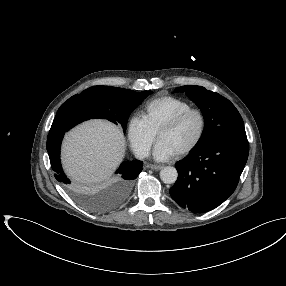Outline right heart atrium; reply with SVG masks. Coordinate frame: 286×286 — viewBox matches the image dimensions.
Here are the masks:
<instances>
[{
  "label": "right heart atrium",
  "instance_id": "d8ad5b80",
  "mask_svg": "<svg viewBox=\"0 0 286 286\" xmlns=\"http://www.w3.org/2000/svg\"><path fill=\"white\" fill-rule=\"evenodd\" d=\"M127 137L129 143L140 158L149 155L155 141L156 133L149 127L145 119L140 115H134L127 124Z\"/></svg>",
  "mask_w": 286,
  "mask_h": 286
}]
</instances>
